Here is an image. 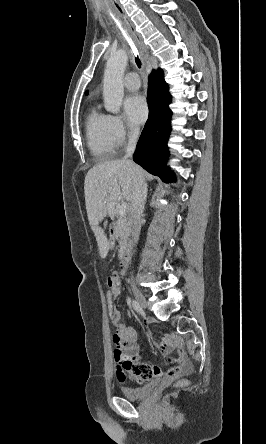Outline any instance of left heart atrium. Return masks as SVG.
Listing matches in <instances>:
<instances>
[{
	"mask_svg": "<svg viewBox=\"0 0 266 444\" xmlns=\"http://www.w3.org/2000/svg\"><path fill=\"white\" fill-rule=\"evenodd\" d=\"M124 109L129 121L134 125L142 124L148 117V105L141 95L132 94L127 97Z\"/></svg>",
	"mask_w": 266,
	"mask_h": 444,
	"instance_id": "obj_1",
	"label": "left heart atrium"
}]
</instances>
